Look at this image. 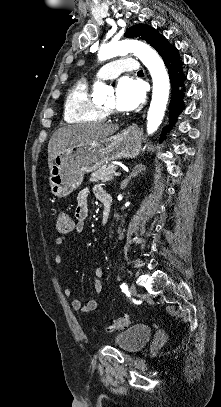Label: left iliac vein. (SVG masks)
<instances>
[{"mask_svg": "<svg viewBox=\"0 0 221 407\" xmlns=\"http://www.w3.org/2000/svg\"><path fill=\"white\" fill-rule=\"evenodd\" d=\"M129 291H130V293H131L133 296H135V295L137 294V289H136V286H135L134 283H132V284L130 285Z\"/></svg>", "mask_w": 221, "mask_h": 407, "instance_id": "obj_1", "label": "left iliac vein"}]
</instances>
